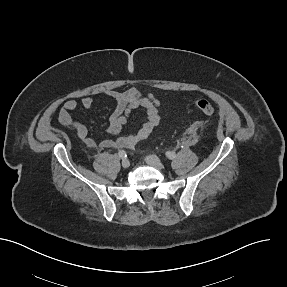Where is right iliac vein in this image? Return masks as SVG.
<instances>
[{
  "instance_id": "right-iliac-vein-1",
  "label": "right iliac vein",
  "mask_w": 287,
  "mask_h": 287,
  "mask_svg": "<svg viewBox=\"0 0 287 287\" xmlns=\"http://www.w3.org/2000/svg\"><path fill=\"white\" fill-rule=\"evenodd\" d=\"M121 164L123 168H128L130 166V161L128 159H123Z\"/></svg>"
}]
</instances>
